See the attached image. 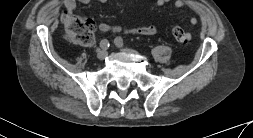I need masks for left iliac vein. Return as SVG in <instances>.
I'll use <instances>...</instances> for the list:
<instances>
[{"instance_id":"4c4485c4","label":"left iliac vein","mask_w":253,"mask_h":138,"mask_svg":"<svg viewBox=\"0 0 253 138\" xmlns=\"http://www.w3.org/2000/svg\"><path fill=\"white\" fill-rule=\"evenodd\" d=\"M122 51L130 54H137V52L131 48H122Z\"/></svg>"}]
</instances>
